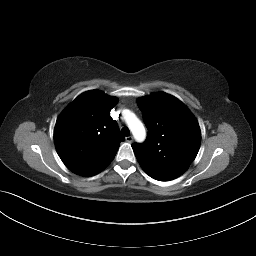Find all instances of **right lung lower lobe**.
<instances>
[{
  "label": "right lung lower lobe",
  "mask_w": 256,
  "mask_h": 256,
  "mask_svg": "<svg viewBox=\"0 0 256 256\" xmlns=\"http://www.w3.org/2000/svg\"><path fill=\"white\" fill-rule=\"evenodd\" d=\"M103 169H101V170H98V171H94V172H91V173H88V174H86V175H83V176H93V175H96V174H98L99 172H101Z\"/></svg>",
  "instance_id": "1"
}]
</instances>
